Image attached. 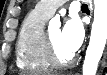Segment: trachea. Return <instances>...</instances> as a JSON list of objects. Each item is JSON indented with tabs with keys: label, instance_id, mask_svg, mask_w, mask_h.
Wrapping results in <instances>:
<instances>
[{
	"label": "trachea",
	"instance_id": "obj_1",
	"mask_svg": "<svg viewBox=\"0 0 107 75\" xmlns=\"http://www.w3.org/2000/svg\"><path fill=\"white\" fill-rule=\"evenodd\" d=\"M82 9H88V6L86 4H83Z\"/></svg>",
	"mask_w": 107,
	"mask_h": 75
}]
</instances>
